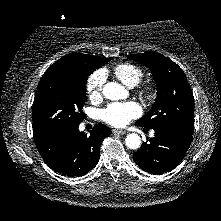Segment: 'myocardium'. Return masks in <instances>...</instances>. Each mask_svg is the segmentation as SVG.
Returning <instances> with one entry per match:
<instances>
[{
    "label": "myocardium",
    "mask_w": 221,
    "mask_h": 221,
    "mask_svg": "<svg viewBox=\"0 0 221 221\" xmlns=\"http://www.w3.org/2000/svg\"><path fill=\"white\" fill-rule=\"evenodd\" d=\"M140 94L145 100H153L156 96V90L154 85L151 83L143 84L140 90Z\"/></svg>",
    "instance_id": "obj_1"
}]
</instances>
